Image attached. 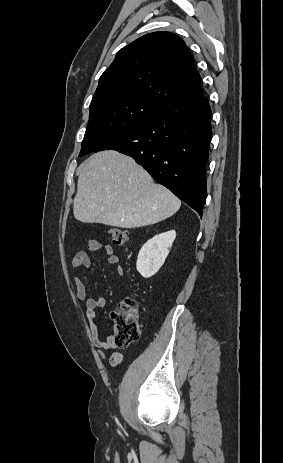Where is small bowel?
I'll use <instances>...</instances> for the list:
<instances>
[{
  "instance_id": "c3829d8e",
  "label": "small bowel",
  "mask_w": 283,
  "mask_h": 463,
  "mask_svg": "<svg viewBox=\"0 0 283 463\" xmlns=\"http://www.w3.org/2000/svg\"><path fill=\"white\" fill-rule=\"evenodd\" d=\"M88 251L98 252L103 251L107 256V263L115 267L116 273L119 276L124 274L122 266L119 264V257L114 254L113 248L109 244H102L98 240L88 239L85 240L80 250L74 255L71 260V266L73 269H79L81 267L91 268L92 261L88 255ZM74 285L76 289L77 298L86 303V316L89 319V334L93 345L98 349L99 355L102 359H106L104 354L105 350L115 349L112 336H107L104 340L100 338L98 326L96 323V314L99 308H102L106 304L104 296L97 298L88 297L84 283L79 278H74ZM124 360L123 354L119 352H113L109 357V363L111 366H118Z\"/></svg>"
}]
</instances>
